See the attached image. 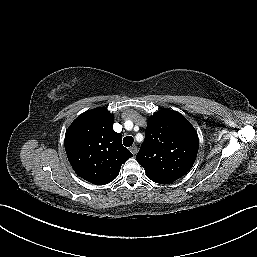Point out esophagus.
Here are the masks:
<instances>
[{"instance_id": "obj_1", "label": "esophagus", "mask_w": 257, "mask_h": 257, "mask_svg": "<svg viewBox=\"0 0 257 257\" xmlns=\"http://www.w3.org/2000/svg\"><path fill=\"white\" fill-rule=\"evenodd\" d=\"M130 151H131V153L133 154V155H136L137 154V151H138V148H137V146H131L130 147Z\"/></svg>"}]
</instances>
